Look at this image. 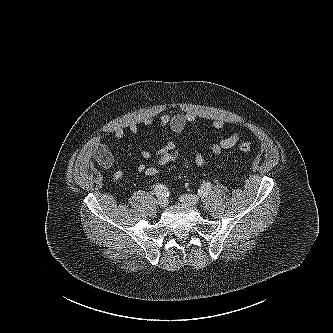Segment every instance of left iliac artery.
Returning <instances> with one entry per match:
<instances>
[{
	"label": "left iliac artery",
	"instance_id": "left-iliac-artery-1",
	"mask_svg": "<svg viewBox=\"0 0 333 333\" xmlns=\"http://www.w3.org/2000/svg\"><path fill=\"white\" fill-rule=\"evenodd\" d=\"M211 188H212V184L210 182H206L202 185L201 189L198 190V192L200 195L205 196L210 192Z\"/></svg>",
	"mask_w": 333,
	"mask_h": 333
}]
</instances>
